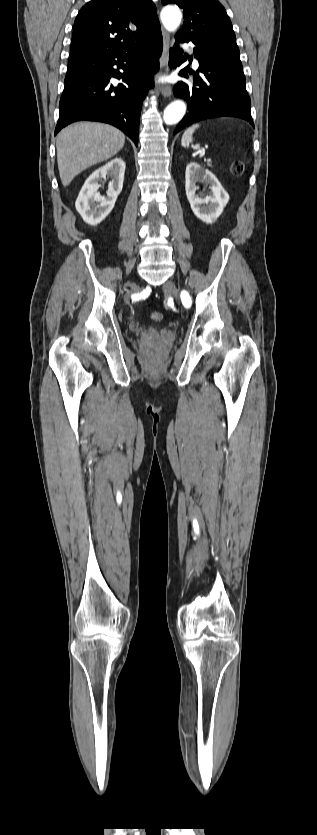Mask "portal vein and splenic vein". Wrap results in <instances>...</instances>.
Here are the masks:
<instances>
[{
    "label": "portal vein and splenic vein",
    "instance_id": "obj_1",
    "mask_svg": "<svg viewBox=\"0 0 317 835\" xmlns=\"http://www.w3.org/2000/svg\"><path fill=\"white\" fill-rule=\"evenodd\" d=\"M205 160H206L208 163H211V162H212V158H205Z\"/></svg>",
    "mask_w": 317,
    "mask_h": 835
}]
</instances>
